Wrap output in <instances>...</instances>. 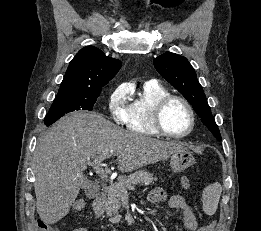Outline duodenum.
<instances>
[{"mask_svg":"<svg viewBox=\"0 0 261 231\" xmlns=\"http://www.w3.org/2000/svg\"><path fill=\"white\" fill-rule=\"evenodd\" d=\"M103 200H104L103 193H99L94 199L93 207L95 213L98 215L102 214Z\"/></svg>","mask_w":261,"mask_h":231,"instance_id":"duodenum-1","label":"duodenum"}]
</instances>
